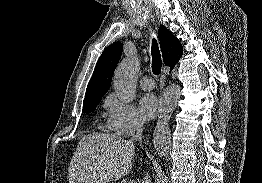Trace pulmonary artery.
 <instances>
[{"instance_id":"e3ab8cb5","label":"pulmonary artery","mask_w":262,"mask_h":183,"mask_svg":"<svg viewBox=\"0 0 262 183\" xmlns=\"http://www.w3.org/2000/svg\"><path fill=\"white\" fill-rule=\"evenodd\" d=\"M140 86L144 90H152L155 87V83L152 77L144 76L140 80Z\"/></svg>"}]
</instances>
